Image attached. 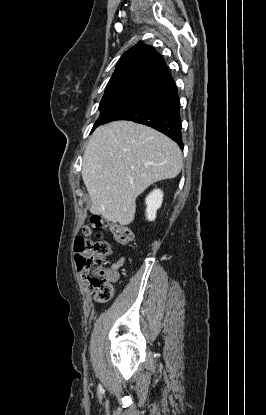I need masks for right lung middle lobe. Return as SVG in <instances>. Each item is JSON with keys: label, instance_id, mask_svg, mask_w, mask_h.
I'll return each instance as SVG.
<instances>
[{"label": "right lung middle lobe", "instance_id": "right-lung-middle-lobe-1", "mask_svg": "<svg viewBox=\"0 0 266 415\" xmlns=\"http://www.w3.org/2000/svg\"><path fill=\"white\" fill-rule=\"evenodd\" d=\"M148 94L149 93H146V92L131 91V90H119V91L105 92L99 105L101 114L99 118L97 119V121L95 122L92 128V131L96 127L107 123L109 118L113 116L115 113L142 100Z\"/></svg>", "mask_w": 266, "mask_h": 415}]
</instances>
